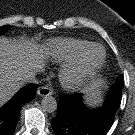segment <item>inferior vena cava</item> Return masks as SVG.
<instances>
[{
	"instance_id": "602c4592",
	"label": "inferior vena cava",
	"mask_w": 135,
	"mask_h": 135,
	"mask_svg": "<svg viewBox=\"0 0 135 135\" xmlns=\"http://www.w3.org/2000/svg\"><path fill=\"white\" fill-rule=\"evenodd\" d=\"M36 75H37V71H35V70L28 71V72L25 74V76H24L25 82L33 83V84H38L39 81H38V79L36 78Z\"/></svg>"
}]
</instances>
